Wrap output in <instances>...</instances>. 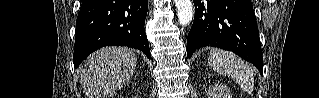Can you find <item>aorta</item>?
Masks as SVG:
<instances>
[{
	"label": "aorta",
	"instance_id": "762f6f07",
	"mask_svg": "<svg viewBox=\"0 0 319 98\" xmlns=\"http://www.w3.org/2000/svg\"><path fill=\"white\" fill-rule=\"evenodd\" d=\"M178 19L181 26L188 25L193 17V5L191 0H174Z\"/></svg>",
	"mask_w": 319,
	"mask_h": 98
}]
</instances>
